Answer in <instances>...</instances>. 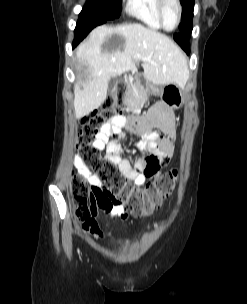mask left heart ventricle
<instances>
[{
  "label": "left heart ventricle",
  "mask_w": 247,
  "mask_h": 304,
  "mask_svg": "<svg viewBox=\"0 0 247 304\" xmlns=\"http://www.w3.org/2000/svg\"><path fill=\"white\" fill-rule=\"evenodd\" d=\"M164 22L167 28H173L177 23L178 9L173 0H168L163 11Z\"/></svg>",
  "instance_id": "obj_1"
}]
</instances>
